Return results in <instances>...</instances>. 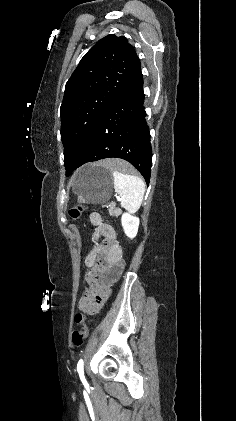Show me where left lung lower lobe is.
<instances>
[{
  "instance_id": "1",
  "label": "left lung lower lobe",
  "mask_w": 236,
  "mask_h": 421,
  "mask_svg": "<svg viewBox=\"0 0 236 421\" xmlns=\"http://www.w3.org/2000/svg\"><path fill=\"white\" fill-rule=\"evenodd\" d=\"M143 75L138 59L124 88L107 108L91 132L77 162L65 165L66 176L81 165L104 158L117 157L130 162L150 181L152 149L146 124Z\"/></svg>"
}]
</instances>
